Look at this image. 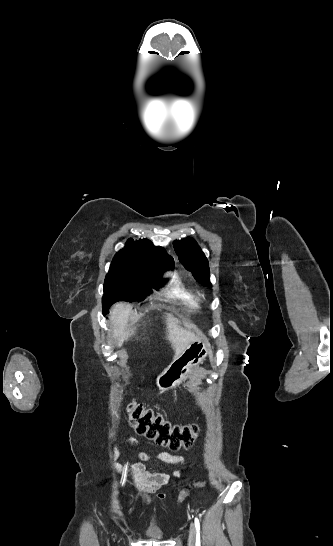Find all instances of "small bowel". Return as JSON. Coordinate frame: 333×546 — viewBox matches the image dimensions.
<instances>
[{"instance_id":"obj_1","label":"small bowel","mask_w":333,"mask_h":546,"mask_svg":"<svg viewBox=\"0 0 333 546\" xmlns=\"http://www.w3.org/2000/svg\"><path fill=\"white\" fill-rule=\"evenodd\" d=\"M125 441L131 446L137 445L136 439L131 435L125 437ZM118 455L119 448L115 446L114 457H117ZM152 457L162 462L172 464H183L185 462L182 456L172 454L167 451H160L153 455L146 451H140L138 453L139 460L135 462L131 468L116 465V469L119 473L126 476H131L135 480V488L137 490L135 499L138 503H145L149 493H155L160 499L163 500L165 498L163 487L166 486L171 479V476L165 473H151L146 471L144 462L148 461ZM173 477L180 478L181 471L174 472ZM133 500V496H129L127 499V511L129 514H134L137 512V508L132 506Z\"/></svg>"}]
</instances>
